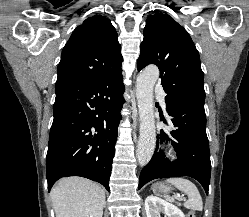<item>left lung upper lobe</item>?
<instances>
[{
	"label": "left lung upper lobe",
	"mask_w": 249,
	"mask_h": 217,
	"mask_svg": "<svg viewBox=\"0 0 249 217\" xmlns=\"http://www.w3.org/2000/svg\"><path fill=\"white\" fill-rule=\"evenodd\" d=\"M137 69L149 64L160 70L165 102L189 100L204 105V76L199 53L188 32L168 14L146 20Z\"/></svg>",
	"instance_id": "obj_1"
}]
</instances>
